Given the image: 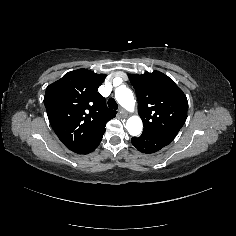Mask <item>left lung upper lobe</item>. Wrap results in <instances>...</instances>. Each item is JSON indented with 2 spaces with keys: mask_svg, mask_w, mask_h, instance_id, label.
<instances>
[{
  "mask_svg": "<svg viewBox=\"0 0 236 236\" xmlns=\"http://www.w3.org/2000/svg\"><path fill=\"white\" fill-rule=\"evenodd\" d=\"M129 79L136 91L143 132L175 138L187 117L188 101L183 91L158 71L130 74Z\"/></svg>",
  "mask_w": 236,
  "mask_h": 236,
  "instance_id": "5c2ea615",
  "label": "left lung upper lobe"
}]
</instances>
